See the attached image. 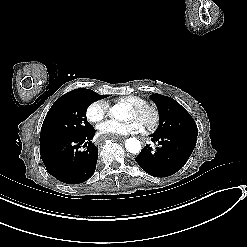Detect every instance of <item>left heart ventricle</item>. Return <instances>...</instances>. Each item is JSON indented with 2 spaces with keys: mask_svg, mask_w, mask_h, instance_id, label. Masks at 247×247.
Masks as SVG:
<instances>
[{
  "mask_svg": "<svg viewBox=\"0 0 247 247\" xmlns=\"http://www.w3.org/2000/svg\"><path fill=\"white\" fill-rule=\"evenodd\" d=\"M129 120H135L139 122L141 128L147 129L152 121V114L146 110L141 114H136L132 110H129Z\"/></svg>",
  "mask_w": 247,
  "mask_h": 247,
  "instance_id": "left-heart-ventricle-1",
  "label": "left heart ventricle"
}]
</instances>
